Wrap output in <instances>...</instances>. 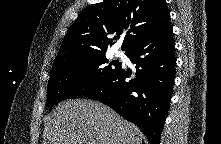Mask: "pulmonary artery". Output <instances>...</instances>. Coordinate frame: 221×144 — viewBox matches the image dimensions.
Returning a JSON list of instances; mask_svg holds the SVG:
<instances>
[{
	"label": "pulmonary artery",
	"instance_id": "pulmonary-artery-1",
	"mask_svg": "<svg viewBox=\"0 0 221 144\" xmlns=\"http://www.w3.org/2000/svg\"><path fill=\"white\" fill-rule=\"evenodd\" d=\"M124 54L122 51H116V56L122 57Z\"/></svg>",
	"mask_w": 221,
	"mask_h": 144
}]
</instances>
